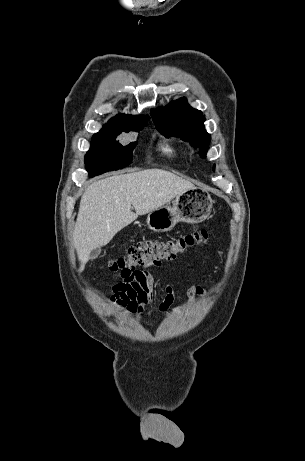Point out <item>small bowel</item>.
I'll return each instance as SVG.
<instances>
[{
  "label": "small bowel",
  "instance_id": "small-bowel-1",
  "mask_svg": "<svg viewBox=\"0 0 305 461\" xmlns=\"http://www.w3.org/2000/svg\"><path fill=\"white\" fill-rule=\"evenodd\" d=\"M157 264L156 266H160ZM165 297L159 304V311L164 315L181 313L191 306L196 297H207V291L200 285L192 284L186 291L187 301L184 305L173 306L175 301L172 285L164 287ZM155 293V282L146 270H136L131 277L115 283L111 288L109 301L111 304L124 310L127 314L137 318L152 302Z\"/></svg>",
  "mask_w": 305,
  "mask_h": 461
}]
</instances>
